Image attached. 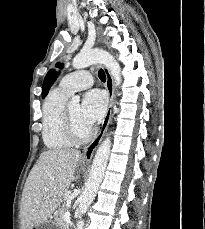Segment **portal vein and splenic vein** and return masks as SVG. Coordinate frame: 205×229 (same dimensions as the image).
<instances>
[{
	"mask_svg": "<svg viewBox=\"0 0 205 229\" xmlns=\"http://www.w3.org/2000/svg\"><path fill=\"white\" fill-rule=\"evenodd\" d=\"M63 219H64L65 221H70V219H71V214H70V212H65V213L63 214Z\"/></svg>",
	"mask_w": 205,
	"mask_h": 229,
	"instance_id": "portal-vein-and-splenic-vein-1",
	"label": "portal vein and splenic vein"
}]
</instances>
